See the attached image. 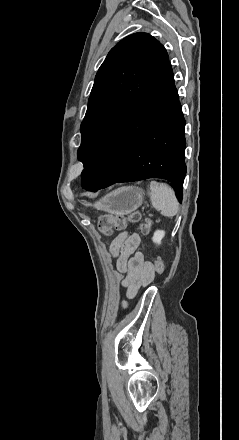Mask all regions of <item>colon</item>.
<instances>
[{"label": "colon", "instance_id": "1", "mask_svg": "<svg viewBox=\"0 0 239 440\" xmlns=\"http://www.w3.org/2000/svg\"><path fill=\"white\" fill-rule=\"evenodd\" d=\"M140 218L138 212H133L127 216L124 215H110L101 217L98 220V229L104 233L109 234L113 229L124 230L128 223L137 222ZM142 234H148L150 230V221H146L139 226ZM154 268L156 273L163 272V263L160 258H156L154 261Z\"/></svg>", "mask_w": 239, "mask_h": 440}]
</instances>
